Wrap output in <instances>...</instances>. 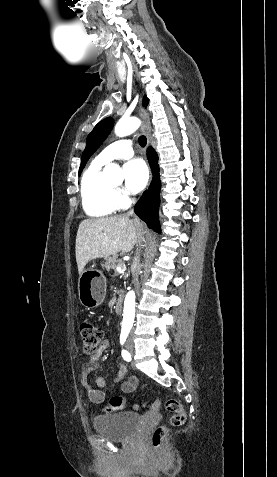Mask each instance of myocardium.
<instances>
[{
	"label": "myocardium",
	"instance_id": "f54148a6",
	"mask_svg": "<svg viewBox=\"0 0 277 477\" xmlns=\"http://www.w3.org/2000/svg\"><path fill=\"white\" fill-rule=\"evenodd\" d=\"M109 185H110V188H111V189H113V190L115 189V186H114V185H112V184H110V183H109Z\"/></svg>",
	"mask_w": 277,
	"mask_h": 477
}]
</instances>
